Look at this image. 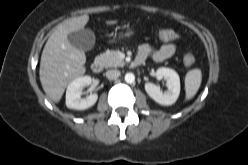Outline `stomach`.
Wrapping results in <instances>:
<instances>
[{
  "instance_id": "stomach-1",
  "label": "stomach",
  "mask_w": 248,
  "mask_h": 165,
  "mask_svg": "<svg viewBox=\"0 0 248 165\" xmlns=\"http://www.w3.org/2000/svg\"><path fill=\"white\" fill-rule=\"evenodd\" d=\"M134 34V31L133 30H128V31H126L125 33H123L122 35H121V37H130V36H132Z\"/></svg>"
}]
</instances>
